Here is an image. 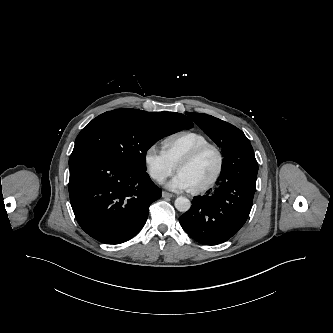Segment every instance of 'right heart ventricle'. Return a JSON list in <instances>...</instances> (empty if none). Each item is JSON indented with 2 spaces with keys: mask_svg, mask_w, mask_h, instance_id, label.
Returning <instances> with one entry per match:
<instances>
[{
  "mask_svg": "<svg viewBox=\"0 0 333 333\" xmlns=\"http://www.w3.org/2000/svg\"><path fill=\"white\" fill-rule=\"evenodd\" d=\"M206 143H210L209 140L199 132L181 131L166 137L162 141V151L177 166L184 156Z\"/></svg>",
  "mask_w": 333,
  "mask_h": 333,
  "instance_id": "1",
  "label": "right heart ventricle"
}]
</instances>
